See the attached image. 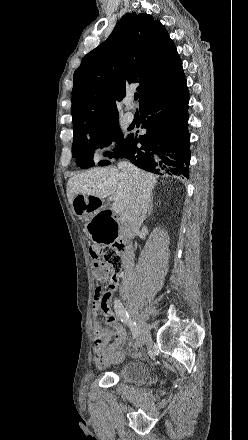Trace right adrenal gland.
<instances>
[{"label":"right adrenal gland","instance_id":"right-adrenal-gland-1","mask_svg":"<svg viewBox=\"0 0 248 440\" xmlns=\"http://www.w3.org/2000/svg\"><path fill=\"white\" fill-rule=\"evenodd\" d=\"M152 211H153V197H151L150 206H149V209H148V216H150Z\"/></svg>","mask_w":248,"mask_h":440}]
</instances>
